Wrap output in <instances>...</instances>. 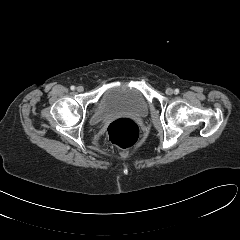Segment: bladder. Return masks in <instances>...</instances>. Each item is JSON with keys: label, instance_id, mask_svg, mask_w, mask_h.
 <instances>
[{"label": "bladder", "instance_id": "31cf9c89", "mask_svg": "<svg viewBox=\"0 0 240 240\" xmlns=\"http://www.w3.org/2000/svg\"><path fill=\"white\" fill-rule=\"evenodd\" d=\"M148 113V104L137 89L121 87L109 89L102 95L95 117L106 120L118 115H128L142 119Z\"/></svg>", "mask_w": 240, "mask_h": 240}]
</instances>
